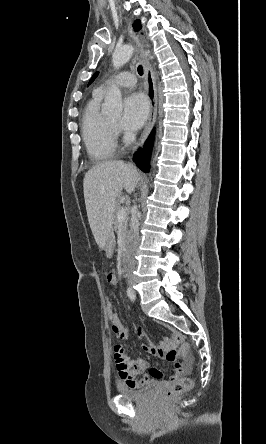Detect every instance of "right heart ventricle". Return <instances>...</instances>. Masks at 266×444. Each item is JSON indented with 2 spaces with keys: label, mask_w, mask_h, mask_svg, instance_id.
<instances>
[{
  "label": "right heart ventricle",
  "mask_w": 266,
  "mask_h": 444,
  "mask_svg": "<svg viewBox=\"0 0 266 444\" xmlns=\"http://www.w3.org/2000/svg\"><path fill=\"white\" fill-rule=\"evenodd\" d=\"M103 94L94 92L82 116V138L89 156L97 161L111 158L117 147L109 128V118L100 110Z\"/></svg>",
  "instance_id": "1"
}]
</instances>
